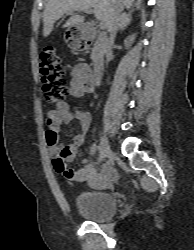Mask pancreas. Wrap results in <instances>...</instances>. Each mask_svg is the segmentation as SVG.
I'll use <instances>...</instances> for the list:
<instances>
[{
  "label": "pancreas",
  "instance_id": "1",
  "mask_svg": "<svg viewBox=\"0 0 194 250\" xmlns=\"http://www.w3.org/2000/svg\"><path fill=\"white\" fill-rule=\"evenodd\" d=\"M106 48L105 38L102 33L98 32L97 40L95 41L94 47L91 53V59L95 62L98 61L104 54Z\"/></svg>",
  "mask_w": 194,
  "mask_h": 250
}]
</instances>
